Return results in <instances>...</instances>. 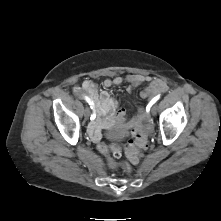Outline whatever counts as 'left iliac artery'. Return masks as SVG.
Here are the masks:
<instances>
[{
	"label": "left iliac artery",
	"instance_id": "44dca946",
	"mask_svg": "<svg viewBox=\"0 0 221 221\" xmlns=\"http://www.w3.org/2000/svg\"><path fill=\"white\" fill-rule=\"evenodd\" d=\"M159 99V96L155 97L147 106V111L150 110L151 106Z\"/></svg>",
	"mask_w": 221,
	"mask_h": 221
}]
</instances>
